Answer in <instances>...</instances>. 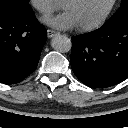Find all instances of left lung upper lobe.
<instances>
[{
    "mask_svg": "<svg viewBox=\"0 0 128 128\" xmlns=\"http://www.w3.org/2000/svg\"><path fill=\"white\" fill-rule=\"evenodd\" d=\"M126 14H128V0H122L120 8L115 12V14L109 20L116 19Z\"/></svg>",
    "mask_w": 128,
    "mask_h": 128,
    "instance_id": "left-lung-upper-lobe-1",
    "label": "left lung upper lobe"
}]
</instances>
